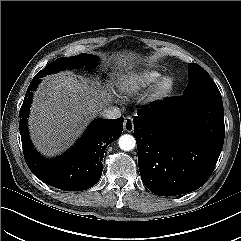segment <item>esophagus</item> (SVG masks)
Returning a JSON list of instances; mask_svg holds the SVG:
<instances>
[{"label": "esophagus", "mask_w": 241, "mask_h": 241, "mask_svg": "<svg viewBox=\"0 0 241 241\" xmlns=\"http://www.w3.org/2000/svg\"><path fill=\"white\" fill-rule=\"evenodd\" d=\"M124 130L128 133L133 132L134 130V124H133V119L130 116H127L124 120Z\"/></svg>", "instance_id": "obj_1"}]
</instances>
